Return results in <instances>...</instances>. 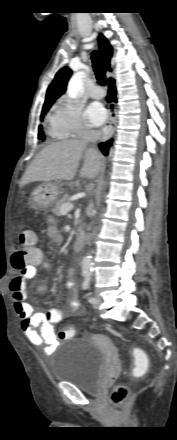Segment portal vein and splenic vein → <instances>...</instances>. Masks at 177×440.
I'll use <instances>...</instances> for the list:
<instances>
[{
    "instance_id": "obj_1",
    "label": "portal vein and splenic vein",
    "mask_w": 177,
    "mask_h": 440,
    "mask_svg": "<svg viewBox=\"0 0 177 440\" xmlns=\"http://www.w3.org/2000/svg\"><path fill=\"white\" fill-rule=\"evenodd\" d=\"M74 208V205L72 203H65L60 208L61 215H66L69 211H71Z\"/></svg>"
}]
</instances>
